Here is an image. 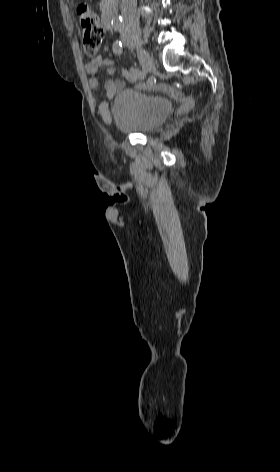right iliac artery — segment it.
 Returning <instances> with one entry per match:
<instances>
[{
    "instance_id": "right-iliac-artery-1",
    "label": "right iliac artery",
    "mask_w": 280,
    "mask_h": 472,
    "mask_svg": "<svg viewBox=\"0 0 280 472\" xmlns=\"http://www.w3.org/2000/svg\"><path fill=\"white\" fill-rule=\"evenodd\" d=\"M112 29L115 32H119L121 30L119 25H113ZM122 48H123V45H122L121 41H118V40L115 41V43L113 44L114 53L115 54H121L122 53ZM130 72L132 73V75L134 76L135 79L143 80L145 78V73L142 72L141 70H139L138 68H131Z\"/></svg>"
}]
</instances>
